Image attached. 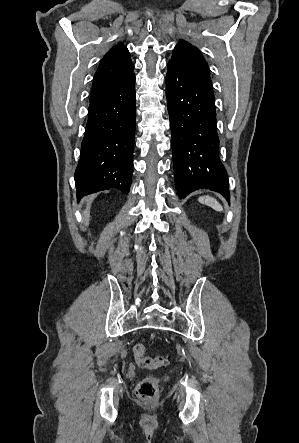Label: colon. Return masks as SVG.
Returning <instances> with one entry per match:
<instances>
[{"mask_svg": "<svg viewBox=\"0 0 299 443\" xmlns=\"http://www.w3.org/2000/svg\"><path fill=\"white\" fill-rule=\"evenodd\" d=\"M133 352L138 366L143 369H156L165 366L169 362L167 356L148 355L146 347L140 343L134 345ZM136 394L142 400L154 402L158 397V379L154 376L143 378L137 385Z\"/></svg>", "mask_w": 299, "mask_h": 443, "instance_id": "obj_1", "label": "colon"}]
</instances>
